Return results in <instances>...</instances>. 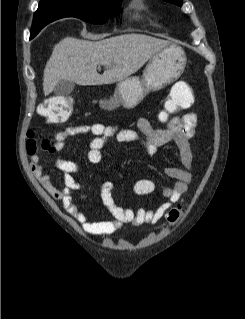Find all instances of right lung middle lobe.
Listing matches in <instances>:
<instances>
[{
    "mask_svg": "<svg viewBox=\"0 0 245 319\" xmlns=\"http://www.w3.org/2000/svg\"><path fill=\"white\" fill-rule=\"evenodd\" d=\"M55 15L62 17H77L94 24L105 23L108 17L120 7L119 0H64L52 2ZM38 23L33 19V25Z\"/></svg>",
    "mask_w": 245,
    "mask_h": 319,
    "instance_id": "right-lung-middle-lobe-1",
    "label": "right lung middle lobe"
}]
</instances>
